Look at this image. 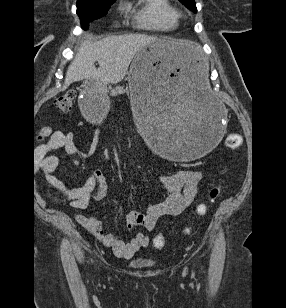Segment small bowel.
<instances>
[{
	"label": "small bowel",
	"instance_id": "c3829d8e",
	"mask_svg": "<svg viewBox=\"0 0 286 308\" xmlns=\"http://www.w3.org/2000/svg\"><path fill=\"white\" fill-rule=\"evenodd\" d=\"M100 131L92 132L93 142L87 152H83L77 146L73 133L52 131L44 127L39 132L40 140L44 141L39 148L40 168L46 181L57 190L60 195L70 201L73 208L86 209L92 200L103 198L108 189V181L104 173L95 169L92 175L81 187H67L54 174L58 164L55 156L49 152L64 149L70 155L90 156L96 150ZM202 173L198 169L188 168L172 174L159 177V182L165 191L162 201L147 207L144 212L133 210L126 216V226L129 229L140 226L146 231L155 228L157 221L162 216H177L183 213L193 202L200 189ZM76 221L87 228L99 241L109 247L114 255L120 258H131L136 252L149 245V238L138 232L129 242L119 239L116 235L104 230L102 223L94 215L76 216Z\"/></svg>",
	"mask_w": 286,
	"mask_h": 308
}]
</instances>
